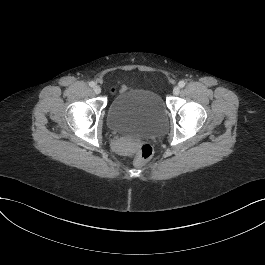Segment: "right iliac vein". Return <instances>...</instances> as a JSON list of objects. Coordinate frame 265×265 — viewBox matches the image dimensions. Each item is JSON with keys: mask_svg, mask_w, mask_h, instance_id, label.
<instances>
[{"mask_svg": "<svg viewBox=\"0 0 265 265\" xmlns=\"http://www.w3.org/2000/svg\"><path fill=\"white\" fill-rule=\"evenodd\" d=\"M93 90H94V92H95L96 94H100V93H101V88H100V86H98V85H95L94 88H93Z\"/></svg>", "mask_w": 265, "mask_h": 265, "instance_id": "1", "label": "right iliac vein"}]
</instances>
